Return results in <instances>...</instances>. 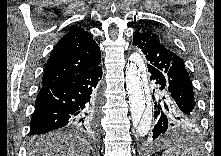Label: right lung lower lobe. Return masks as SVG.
Wrapping results in <instances>:
<instances>
[{
  "instance_id": "98d812e1",
  "label": "right lung lower lobe",
  "mask_w": 221,
  "mask_h": 156,
  "mask_svg": "<svg viewBox=\"0 0 221 156\" xmlns=\"http://www.w3.org/2000/svg\"><path fill=\"white\" fill-rule=\"evenodd\" d=\"M102 67L97 65L85 72L40 89L30 123V135L52 130L94 128L100 105Z\"/></svg>"
}]
</instances>
